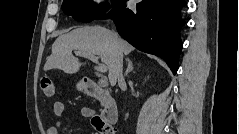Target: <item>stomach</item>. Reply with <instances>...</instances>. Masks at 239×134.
Listing matches in <instances>:
<instances>
[{
	"label": "stomach",
	"instance_id": "obj_1",
	"mask_svg": "<svg viewBox=\"0 0 239 134\" xmlns=\"http://www.w3.org/2000/svg\"><path fill=\"white\" fill-rule=\"evenodd\" d=\"M78 88L83 89L84 88V83H82V82L78 83Z\"/></svg>",
	"mask_w": 239,
	"mask_h": 134
}]
</instances>
